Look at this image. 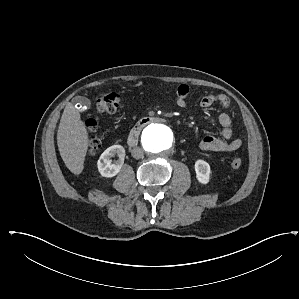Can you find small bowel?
Segmentation results:
<instances>
[{
    "label": "small bowel",
    "instance_id": "small-bowel-1",
    "mask_svg": "<svg viewBox=\"0 0 299 299\" xmlns=\"http://www.w3.org/2000/svg\"><path fill=\"white\" fill-rule=\"evenodd\" d=\"M191 92L188 86L180 85L177 88L176 103L180 108L188 107V98ZM219 104L223 109L228 108L230 104L229 98L224 94H209L201 97L199 105L202 108H209L214 104ZM218 122L222 127L221 138L207 136L200 142V149L205 152L229 154L238 150L242 141L240 139H232L233 128L232 119L227 112H221L218 115Z\"/></svg>",
    "mask_w": 299,
    "mask_h": 299
}]
</instances>
